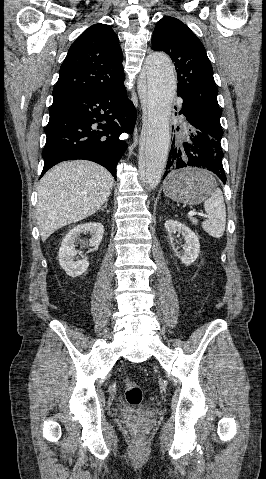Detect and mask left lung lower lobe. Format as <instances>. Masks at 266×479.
I'll return each instance as SVG.
<instances>
[{
	"label": "left lung lower lobe",
	"instance_id": "left-lung-lower-lobe-1",
	"mask_svg": "<svg viewBox=\"0 0 266 479\" xmlns=\"http://www.w3.org/2000/svg\"><path fill=\"white\" fill-rule=\"evenodd\" d=\"M180 114L187 121L185 138L178 143L173 139L164 178L173 170L193 166L212 171L225 184L220 140L213 136L205 122L186 103H183Z\"/></svg>",
	"mask_w": 266,
	"mask_h": 479
}]
</instances>
